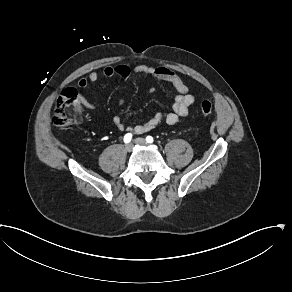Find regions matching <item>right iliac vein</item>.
<instances>
[{"label": "right iliac vein", "mask_w": 292, "mask_h": 292, "mask_svg": "<svg viewBox=\"0 0 292 292\" xmlns=\"http://www.w3.org/2000/svg\"><path fill=\"white\" fill-rule=\"evenodd\" d=\"M125 149L127 152H132L134 149V144L133 143H129L125 146Z\"/></svg>", "instance_id": "obj_1"}]
</instances>
